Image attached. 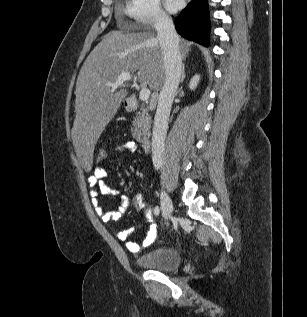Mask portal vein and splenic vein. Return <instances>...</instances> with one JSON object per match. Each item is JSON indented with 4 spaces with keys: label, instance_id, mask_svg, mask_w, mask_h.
<instances>
[{
    "label": "portal vein and splenic vein",
    "instance_id": "1",
    "mask_svg": "<svg viewBox=\"0 0 307 317\" xmlns=\"http://www.w3.org/2000/svg\"><path fill=\"white\" fill-rule=\"evenodd\" d=\"M132 79V75L129 72L121 73L116 81L112 84H109L113 90L117 89L118 87L122 86L124 82L129 81ZM150 90L147 87H142L139 94V99L141 101H147L150 97Z\"/></svg>",
    "mask_w": 307,
    "mask_h": 317
}]
</instances>
